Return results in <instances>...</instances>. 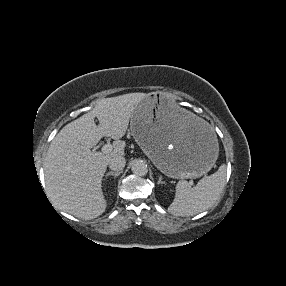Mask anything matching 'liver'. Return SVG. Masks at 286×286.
<instances>
[{"mask_svg": "<svg viewBox=\"0 0 286 286\" xmlns=\"http://www.w3.org/2000/svg\"><path fill=\"white\" fill-rule=\"evenodd\" d=\"M145 97L144 93H130L99 99L94 110L64 126L54 137L44 160L46 188L54 205L85 220L105 212L102 178L110 159L125 154L126 144L120 139ZM104 136L115 140L113 150L107 154L91 151Z\"/></svg>", "mask_w": 286, "mask_h": 286, "instance_id": "liver-1", "label": "liver"}]
</instances>
